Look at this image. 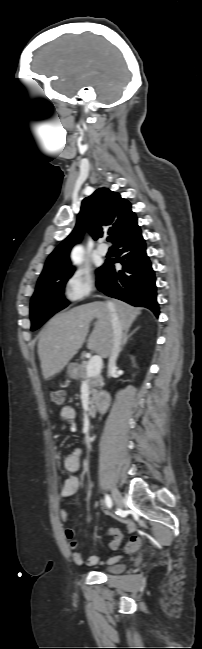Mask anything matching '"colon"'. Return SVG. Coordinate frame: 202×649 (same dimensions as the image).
<instances>
[{"mask_svg": "<svg viewBox=\"0 0 202 649\" xmlns=\"http://www.w3.org/2000/svg\"><path fill=\"white\" fill-rule=\"evenodd\" d=\"M51 400L56 404V405H62L65 400V393L63 390H53L50 393ZM140 537L137 535H134L130 538L128 544H127V549L129 551L134 550L137 548L140 544Z\"/></svg>", "mask_w": 202, "mask_h": 649, "instance_id": "1", "label": "colon"}]
</instances>
